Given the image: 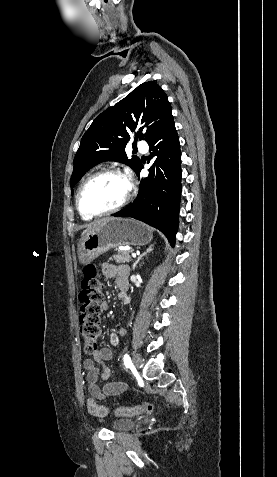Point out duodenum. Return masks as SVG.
Returning a JSON list of instances; mask_svg holds the SVG:
<instances>
[{"label": "duodenum", "mask_w": 277, "mask_h": 477, "mask_svg": "<svg viewBox=\"0 0 277 477\" xmlns=\"http://www.w3.org/2000/svg\"><path fill=\"white\" fill-rule=\"evenodd\" d=\"M124 301L127 302V301H128V298H125Z\"/></svg>", "instance_id": "410a0bca"}]
</instances>
